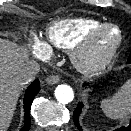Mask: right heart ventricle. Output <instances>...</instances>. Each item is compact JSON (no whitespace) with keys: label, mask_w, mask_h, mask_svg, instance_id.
<instances>
[{"label":"right heart ventricle","mask_w":131,"mask_h":131,"mask_svg":"<svg viewBox=\"0 0 131 131\" xmlns=\"http://www.w3.org/2000/svg\"><path fill=\"white\" fill-rule=\"evenodd\" d=\"M103 22L93 18H65L52 22L46 29L47 47L70 50L91 30Z\"/></svg>","instance_id":"obj_1"}]
</instances>
